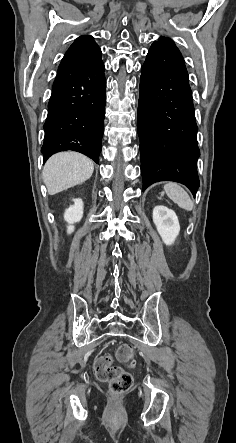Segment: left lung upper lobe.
Returning a JSON list of instances; mask_svg holds the SVG:
<instances>
[{
    "label": "left lung upper lobe",
    "mask_w": 236,
    "mask_h": 443,
    "mask_svg": "<svg viewBox=\"0 0 236 443\" xmlns=\"http://www.w3.org/2000/svg\"><path fill=\"white\" fill-rule=\"evenodd\" d=\"M155 45H165V46H170V47H172V48L178 50V48L176 47V45L174 44V42H173L171 39H169V38H165V37H161L158 41H156V42H154V43L152 44V46H155Z\"/></svg>",
    "instance_id": "left-lung-upper-lobe-1"
}]
</instances>
